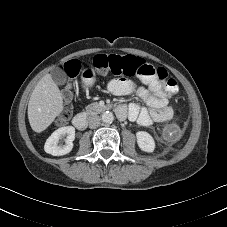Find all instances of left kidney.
Wrapping results in <instances>:
<instances>
[{"mask_svg": "<svg viewBox=\"0 0 227 227\" xmlns=\"http://www.w3.org/2000/svg\"><path fill=\"white\" fill-rule=\"evenodd\" d=\"M136 137H137V144L142 151H145L148 153H151L154 151L155 141L149 133L145 131H138L136 133Z\"/></svg>", "mask_w": 227, "mask_h": 227, "instance_id": "obj_1", "label": "left kidney"}]
</instances>
